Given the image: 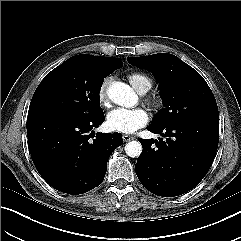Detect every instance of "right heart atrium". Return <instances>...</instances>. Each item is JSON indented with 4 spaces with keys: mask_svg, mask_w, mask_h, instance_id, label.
<instances>
[{
    "mask_svg": "<svg viewBox=\"0 0 241 241\" xmlns=\"http://www.w3.org/2000/svg\"><path fill=\"white\" fill-rule=\"evenodd\" d=\"M109 83H110V78L109 77L105 78L102 81L98 90V100L102 106H108L109 104L108 93H107Z\"/></svg>",
    "mask_w": 241,
    "mask_h": 241,
    "instance_id": "d8ad5b80",
    "label": "right heart atrium"
}]
</instances>
